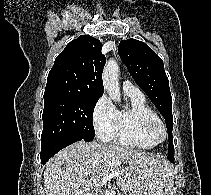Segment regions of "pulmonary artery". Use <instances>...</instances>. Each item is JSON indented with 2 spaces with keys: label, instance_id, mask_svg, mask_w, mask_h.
I'll return each instance as SVG.
<instances>
[{
  "label": "pulmonary artery",
  "instance_id": "obj_1",
  "mask_svg": "<svg viewBox=\"0 0 211 195\" xmlns=\"http://www.w3.org/2000/svg\"><path fill=\"white\" fill-rule=\"evenodd\" d=\"M123 91L126 94H142L140 89L133 85L130 81H124Z\"/></svg>",
  "mask_w": 211,
  "mask_h": 195
}]
</instances>
